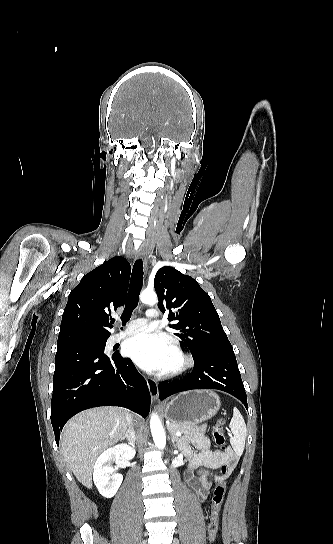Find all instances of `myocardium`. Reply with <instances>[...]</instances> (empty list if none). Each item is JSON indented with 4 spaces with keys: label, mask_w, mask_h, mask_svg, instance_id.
I'll return each mask as SVG.
<instances>
[{
    "label": "myocardium",
    "mask_w": 333,
    "mask_h": 544,
    "mask_svg": "<svg viewBox=\"0 0 333 544\" xmlns=\"http://www.w3.org/2000/svg\"><path fill=\"white\" fill-rule=\"evenodd\" d=\"M172 352L177 358V364L163 372V376L167 378L177 377L184 374L190 370L194 364L193 358L180 346L173 344Z\"/></svg>",
    "instance_id": "obj_1"
}]
</instances>
